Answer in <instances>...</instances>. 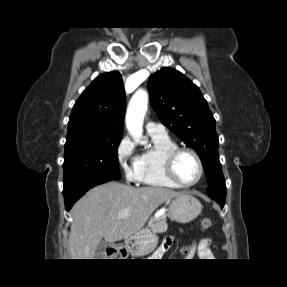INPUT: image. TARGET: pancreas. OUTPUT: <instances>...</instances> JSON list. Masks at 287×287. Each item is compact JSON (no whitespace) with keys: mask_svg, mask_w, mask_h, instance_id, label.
Masks as SVG:
<instances>
[{"mask_svg":"<svg viewBox=\"0 0 287 287\" xmlns=\"http://www.w3.org/2000/svg\"><path fill=\"white\" fill-rule=\"evenodd\" d=\"M166 214L159 217H151L148 222V227L153 233H161L167 230Z\"/></svg>","mask_w":287,"mask_h":287,"instance_id":"pancreas-1","label":"pancreas"}]
</instances>
